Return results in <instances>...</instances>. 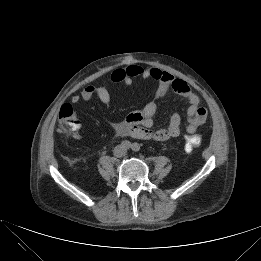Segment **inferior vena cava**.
Listing matches in <instances>:
<instances>
[{
  "mask_svg": "<svg viewBox=\"0 0 261 261\" xmlns=\"http://www.w3.org/2000/svg\"><path fill=\"white\" fill-rule=\"evenodd\" d=\"M125 152H126V150L125 149H121V148H116L115 149V156H117V157H121V156H123V155H125Z\"/></svg>",
  "mask_w": 261,
  "mask_h": 261,
  "instance_id": "602c4592",
  "label": "inferior vena cava"
}]
</instances>
